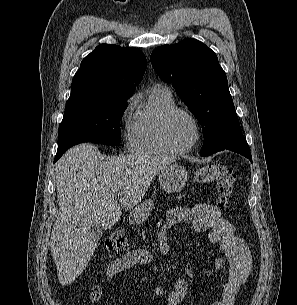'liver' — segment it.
Masks as SVG:
<instances>
[{
  "label": "liver",
  "instance_id": "obj_1",
  "mask_svg": "<svg viewBox=\"0 0 297 305\" xmlns=\"http://www.w3.org/2000/svg\"><path fill=\"white\" fill-rule=\"evenodd\" d=\"M173 156L129 154L102 161L97 147L70 148L55 166L59 212L51 233V253L61 285H70L97 247L88 236L92 224L111 228L143 199L155 176ZM120 196V204L114 199Z\"/></svg>",
  "mask_w": 297,
  "mask_h": 305
}]
</instances>
